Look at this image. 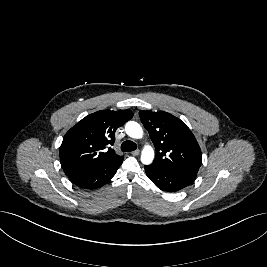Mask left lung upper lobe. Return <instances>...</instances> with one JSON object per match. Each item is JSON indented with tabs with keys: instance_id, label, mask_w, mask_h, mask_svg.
Segmentation results:
<instances>
[{
	"instance_id": "1",
	"label": "left lung upper lobe",
	"mask_w": 267,
	"mask_h": 267,
	"mask_svg": "<svg viewBox=\"0 0 267 267\" xmlns=\"http://www.w3.org/2000/svg\"><path fill=\"white\" fill-rule=\"evenodd\" d=\"M139 116L156 149L152 165L194 180L202 155L190 129L167 112L140 111Z\"/></svg>"
}]
</instances>
